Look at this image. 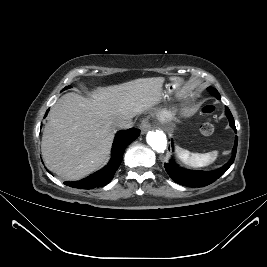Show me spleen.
Returning <instances> with one entry per match:
<instances>
[{
  "label": "spleen",
  "instance_id": "spleen-1",
  "mask_svg": "<svg viewBox=\"0 0 267 267\" xmlns=\"http://www.w3.org/2000/svg\"><path fill=\"white\" fill-rule=\"evenodd\" d=\"M176 155L185 165L193 168H201L212 164L218 157V151L208 153H192L186 149L176 146Z\"/></svg>",
  "mask_w": 267,
  "mask_h": 267
}]
</instances>
